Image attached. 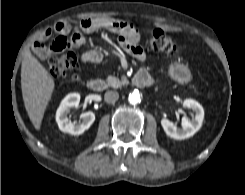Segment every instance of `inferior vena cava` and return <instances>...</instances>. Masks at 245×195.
Masks as SVG:
<instances>
[{
	"mask_svg": "<svg viewBox=\"0 0 245 195\" xmlns=\"http://www.w3.org/2000/svg\"><path fill=\"white\" fill-rule=\"evenodd\" d=\"M104 97L107 103H115L119 98V93L116 91H107Z\"/></svg>",
	"mask_w": 245,
	"mask_h": 195,
	"instance_id": "1",
	"label": "inferior vena cava"
}]
</instances>
